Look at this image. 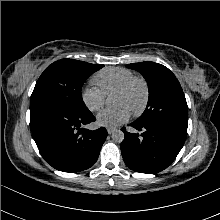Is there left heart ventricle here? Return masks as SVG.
Segmentation results:
<instances>
[{
  "mask_svg": "<svg viewBox=\"0 0 220 220\" xmlns=\"http://www.w3.org/2000/svg\"><path fill=\"white\" fill-rule=\"evenodd\" d=\"M143 101V89L141 85L136 84L129 92L125 94H114L113 105H124L131 112L138 109Z\"/></svg>",
  "mask_w": 220,
  "mask_h": 220,
  "instance_id": "left-heart-ventricle-1",
  "label": "left heart ventricle"
}]
</instances>
